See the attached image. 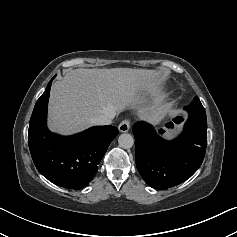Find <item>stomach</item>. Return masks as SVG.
<instances>
[{
    "instance_id": "stomach-1",
    "label": "stomach",
    "mask_w": 237,
    "mask_h": 237,
    "mask_svg": "<svg viewBox=\"0 0 237 237\" xmlns=\"http://www.w3.org/2000/svg\"><path fill=\"white\" fill-rule=\"evenodd\" d=\"M162 119V114L161 113H157L153 118H152V123L154 124H158Z\"/></svg>"
}]
</instances>
